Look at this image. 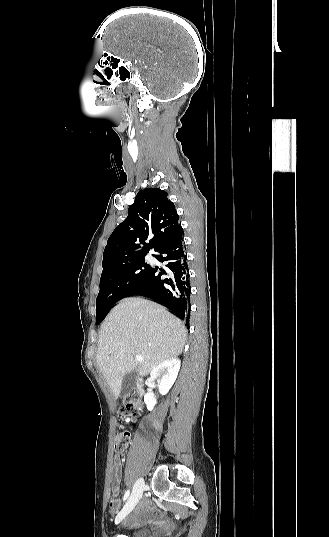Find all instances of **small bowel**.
<instances>
[{"label":"small bowel","instance_id":"c3829d8e","mask_svg":"<svg viewBox=\"0 0 329 537\" xmlns=\"http://www.w3.org/2000/svg\"><path fill=\"white\" fill-rule=\"evenodd\" d=\"M114 487L109 499V508L112 514L117 513L120 505V488L119 483L121 479V460L119 457L114 458ZM151 520V517L146 509V504H140L136 507L133 514L126 520V525L129 527L141 525Z\"/></svg>","mask_w":329,"mask_h":537}]
</instances>
